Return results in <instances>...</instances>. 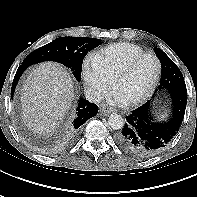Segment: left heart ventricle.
<instances>
[{
    "label": "left heart ventricle",
    "instance_id": "1",
    "mask_svg": "<svg viewBox=\"0 0 197 197\" xmlns=\"http://www.w3.org/2000/svg\"><path fill=\"white\" fill-rule=\"evenodd\" d=\"M157 73L154 59L141 60L133 71L117 85L116 91L124 101H129L143 95L151 86Z\"/></svg>",
    "mask_w": 197,
    "mask_h": 197
}]
</instances>
